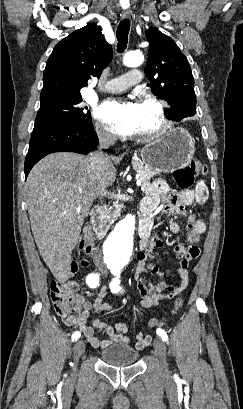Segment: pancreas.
I'll return each mask as SVG.
<instances>
[{
  "instance_id": "1",
  "label": "pancreas",
  "mask_w": 243,
  "mask_h": 409,
  "mask_svg": "<svg viewBox=\"0 0 243 409\" xmlns=\"http://www.w3.org/2000/svg\"><path fill=\"white\" fill-rule=\"evenodd\" d=\"M133 169L137 173H139L142 184H148L150 179L154 175L159 173L156 170H153V169H151V168H149L147 166H144L143 164L138 163V162L133 163ZM122 207H123L122 204H118L113 211H108L109 221L114 220L115 218H117L120 215V211H121Z\"/></svg>"
}]
</instances>
